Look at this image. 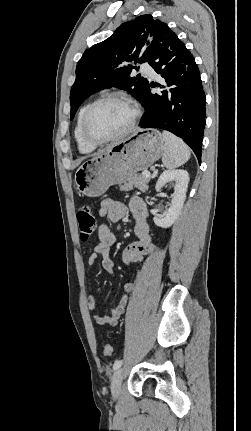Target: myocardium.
<instances>
[{"label":"myocardium","instance_id":"myocardium-1","mask_svg":"<svg viewBox=\"0 0 251 431\" xmlns=\"http://www.w3.org/2000/svg\"><path fill=\"white\" fill-rule=\"evenodd\" d=\"M108 101H118V102H121V103H124V104L130 106L132 111H133V117H132V120H131L129 126L124 131H122L121 133H119L115 136H112V137L104 138V139H96V138L92 137L88 131V122H89V119H90L92 113L95 111V109L97 107H99L101 104L108 102ZM140 117H141V109H140L139 105L134 100H132L131 98H129L125 95H122V94H117V93L106 94V95L101 96L100 98H98L94 102H92L89 105V107L86 109V111L82 117V121H81L82 136L87 143L94 145V146H100V145H104L107 143L115 142V141H118V140L123 139L126 136L130 135L135 130Z\"/></svg>","mask_w":251,"mask_h":431}]
</instances>
